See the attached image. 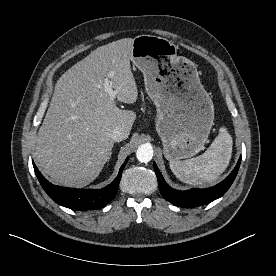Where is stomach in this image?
Returning a JSON list of instances; mask_svg holds the SVG:
<instances>
[{
	"label": "stomach",
	"mask_w": 276,
	"mask_h": 276,
	"mask_svg": "<svg viewBox=\"0 0 276 276\" xmlns=\"http://www.w3.org/2000/svg\"><path fill=\"white\" fill-rule=\"evenodd\" d=\"M170 40L153 35L133 39L131 61L144 74L148 96L157 108L156 130L166 159L200 152L214 121V105L196 65L177 55Z\"/></svg>",
	"instance_id": "obj_1"
}]
</instances>
